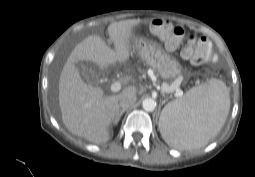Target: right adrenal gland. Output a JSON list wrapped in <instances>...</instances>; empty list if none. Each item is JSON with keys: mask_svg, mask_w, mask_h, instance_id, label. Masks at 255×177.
Segmentation results:
<instances>
[{"mask_svg": "<svg viewBox=\"0 0 255 177\" xmlns=\"http://www.w3.org/2000/svg\"><path fill=\"white\" fill-rule=\"evenodd\" d=\"M126 111V109H122L118 115L115 118L114 124H117L119 122V120L121 119L122 115L124 114V112Z\"/></svg>", "mask_w": 255, "mask_h": 177, "instance_id": "2a0ac1e0", "label": "right adrenal gland"}]
</instances>
